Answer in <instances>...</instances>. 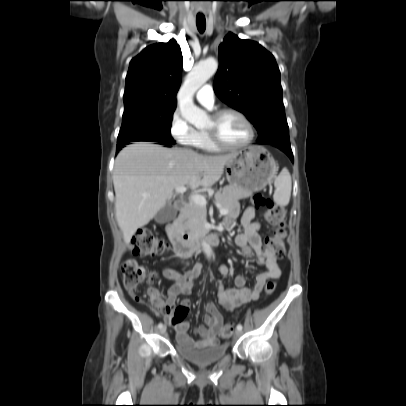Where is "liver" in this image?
Returning a JSON list of instances; mask_svg holds the SVG:
<instances>
[{
    "mask_svg": "<svg viewBox=\"0 0 406 406\" xmlns=\"http://www.w3.org/2000/svg\"><path fill=\"white\" fill-rule=\"evenodd\" d=\"M235 154L207 156L192 150L165 148L136 142L115 159L113 184L116 220L129 244L137 229L145 226L174 195V189L209 187L222 176Z\"/></svg>",
    "mask_w": 406,
    "mask_h": 406,
    "instance_id": "6515ba94",
    "label": "liver"
}]
</instances>
